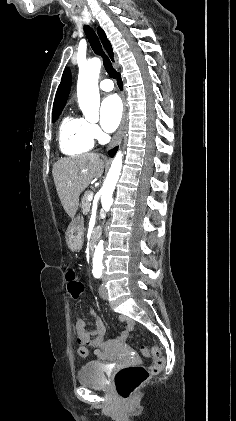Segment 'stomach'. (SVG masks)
<instances>
[{"instance_id": "stomach-1", "label": "stomach", "mask_w": 236, "mask_h": 421, "mask_svg": "<svg viewBox=\"0 0 236 421\" xmlns=\"http://www.w3.org/2000/svg\"><path fill=\"white\" fill-rule=\"evenodd\" d=\"M84 241V223L83 219L77 217L72 219L66 231V243L70 251H79L83 247Z\"/></svg>"}]
</instances>
